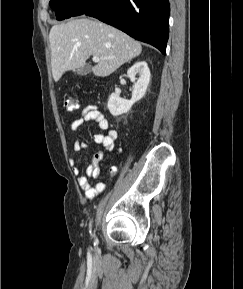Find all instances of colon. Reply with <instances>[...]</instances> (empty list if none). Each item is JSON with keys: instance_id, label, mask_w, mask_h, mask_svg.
Returning <instances> with one entry per match:
<instances>
[{"instance_id": "5ec220e1", "label": "colon", "mask_w": 243, "mask_h": 289, "mask_svg": "<svg viewBox=\"0 0 243 289\" xmlns=\"http://www.w3.org/2000/svg\"><path fill=\"white\" fill-rule=\"evenodd\" d=\"M64 105L68 111H73L79 107L78 101L71 97L65 99Z\"/></svg>"}]
</instances>
